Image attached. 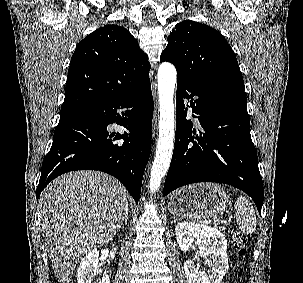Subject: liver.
<instances>
[{"label": "liver", "mask_w": 303, "mask_h": 283, "mask_svg": "<svg viewBox=\"0 0 303 283\" xmlns=\"http://www.w3.org/2000/svg\"><path fill=\"white\" fill-rule=\"evenodd\" d=\"M41 231L60 283H70L84 254L109 242L128 207L125 187L98 171L66 173L39 198Z\"/></svg>", "instance_id": "liver-1"}]
</instances>
